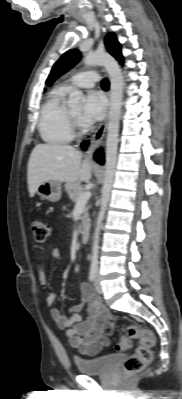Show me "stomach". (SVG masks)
<instances>
[{
  "instance_id": "stomach-1",
  "label": "stomach",
  "mask_w": 182,
  "mask_h": 399,
  "mask_svg": "<svg viewBox=\"0 0 182 399\" xmlns=\"http://www.w3.org/2000/svg\"><path fill=\"white\" fill-rule=\"evenodd\" d=\"M36 193L41 198L47 199L52 202H57L61 199L62 187L60 182L49 180L42 182L38 186Z\"/></svg>"
}]
</instances>
